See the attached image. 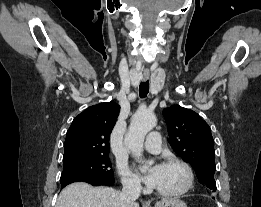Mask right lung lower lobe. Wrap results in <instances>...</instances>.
Wrapping results in <instances>:
<instances>
[{
  "instance_id": "1",
  "label": "right lung lower lobe",
  "mask_w": 261,
  "mask_h": 207,
  "mask_svg": "<svg viewBox=\"0 0 261 207\" xmlns=\"http://www.w3.org/2000/svg\"><path fill=\"white\" fill-rule=\"evenodd\" d=\"M77 181L87 182V183L94 185V186H98V185L111 186V185L114 184V178H104V177L84 178V179H76V180L68 181V182H65V183H61V189L64 188L66 185L73 183V182H77Z\"/></svg>"
}]
</instances>
